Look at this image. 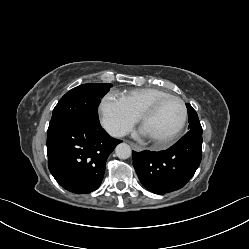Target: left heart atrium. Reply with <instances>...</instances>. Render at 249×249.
Listing matches in <instances>:
<instances>
[{
	"mask_svg": "<svg viewBox=\"0 0 249 249\" xmlns=\"http://www.w3.org/2000/svg\"><path fill=\"white\" fill-rule=\"evenodd\" d=\"M140 134L145 135L144 132L142 131V129H141V131H140Z\"/></svg>",
	"mask_w": 249,
	"mask_h": 249,
	"instance_id": "left-heart-atrium-1",
	"label": "left heart atrium"
}]
</instances>
